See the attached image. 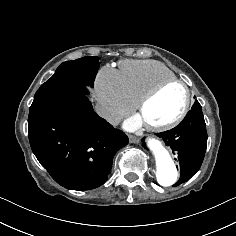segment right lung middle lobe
I'll list each match as a JSON object with an SVG mask.
<instances>
[{
  "label": "right lung middle lobe",
  "instance_id": "right-lung-middle-lobe-1",
  "mask_svg": "<svg viewBox=\"0 0 236 236\" xmlns=\"http://www.w3.org/2000/svg\"><path fill=\"white\" fill-rule=\"evenodd\" d=\"M99 59L86 56L60 64L55 74L37 90L30 109L53 100L85 95L86 86L93 87Z\"/></svg>",
  "mask_w": 236,
  "mask_h": 236
}]
</instances>
